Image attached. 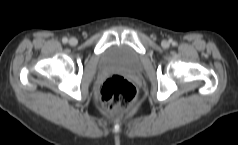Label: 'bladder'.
Segmentation results:
<instances>
[{"label":"bladder","mask_w":238,"mask_h":145,"mask_svg":"<svg viewBox=\"0 0 238 145\" xmlns=\"http://www.w3.org/2000/svg\"><path fill=\"white\" fill-rule=\"evenodd\" d=\"M99 67L104 70L137 73L141 69V58L131 47L114 44L106 47L100 55Z\"/></svg>","instance_id":"bladder-1"}]
</instances>
